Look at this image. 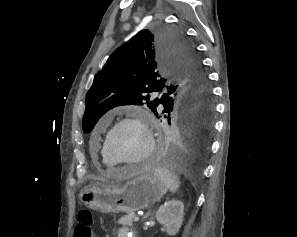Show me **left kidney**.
Masks as SVG:
<instances>
[{
  "label": "left kidney",
  "instance_id": "left-kidney-1",
  "mask_svg": "<svg viewBox=\"0 0 297 237\" xmlns=\"http://www.w3.org/2000/svg\"><path fill=\"white\" fill-rule=\"evenodd\" d=\"M184 204L179 200L165 202L156 212L157 221L170 236H175L183 223Z\"/></svg>",
  "mask_w": 297,
  "mask_h": 237
}]
</instances>
